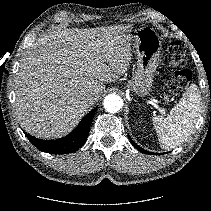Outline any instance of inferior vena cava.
Here are the masks:
<instances>
[{"instance_id":"obj_1","label":"inferior vena cava","mask_w":211,"mask_h":211,"mask_svg":"<svg viewBox=\"0 0 211 211\" xmlns=\"http://www.w3.org/2000/svg\"><path fill=\"white\" fill-rule=\"evenodd\" d=\"M83 100H84V102H86L88 104H92L97 100V97L92 94H87L84 96Z\"/></svg>"}]
</instances>
